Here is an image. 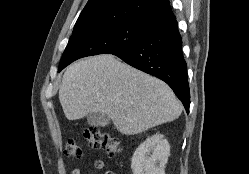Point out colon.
Segmentation results:
<instances>
[{
	"instance_id": "colon-1",
	"label": "colon",
	"mask_w": 249,
	"mask_h": 174,
	"mask_svg": "<svg viewBox=\"0 0 249 174\" xmlns=\"http://www.w3.org/2000/svg\"><path fill=\"white\" fill-rule=\"evenodd\" d=\"M82 137L90 148L104 149L110 156H115L122 151L120 138L98 127L87 128L82 133ZM64 153L70 157H80L82 150L74 139L69 138L65 143Z\"/></svg>"
}]
</instances>
